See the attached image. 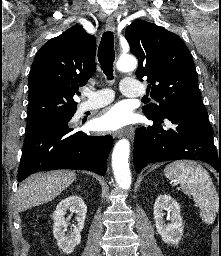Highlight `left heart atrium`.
I'll return each instance as SVG.
<instances>
[{
  "mask_svg": "<svg viewBox=\"0 0 221 256\" xmlns=\"http://www.w3.org/2000/svg\"><path fill=\"white\" fill-rule=\"evenodd\" d=\"M128 112L121 106H114L105 111L95 122L98 130L114 131L128 124Z\"/></svg>",
  "mask_w": 221,
  "mask_h": 256,
  "instance_id": "left-heart-atrium-1",
  "label": "left heart atrium"
}]
</instances>
